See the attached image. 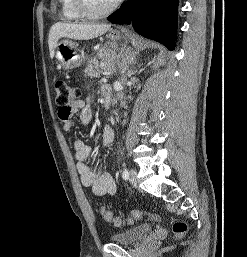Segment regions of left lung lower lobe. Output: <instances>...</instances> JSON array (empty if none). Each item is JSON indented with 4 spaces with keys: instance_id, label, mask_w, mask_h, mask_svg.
I'll return each instance as SVG.
<instances>
[{
    "instance_id": "0a47b994",
    "label": "left lung lower lobe",
    "mask_w": 247,
    "mask_h": 257,
    "mask_svg": "<svg viewBox=\"0 0 247 257\" xmlns=\"http://www.w3.org/2000/svg\"><path fill=\"white\" fill-rule=\"evenodd\" d=\"M178 0H130L112 13L115 24H132L134 30L173 50L177 34Z\"/></svg>"
}]
</instances>
